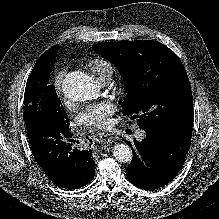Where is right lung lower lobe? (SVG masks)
<instances>
[{
  "label": "right lung lower lobe",
  "mask_w": 219,
  "mask_h": 219,
  "mask_svg": "<svg viewBox=\"0 0 219 219\" xmlns=\"http://www.w3.org/2000/svg\"><path fill=\"white\" fill-rule=\"evenodd\" d=\"M26 129L36 162L54 184L77 189L91 182L95 175L92 151L71 147L70 142L75 140L70 128L52 117L41 116L26 124Z\"/></svg>",
  "instance_id": "obj_1"
}]
</instances>
